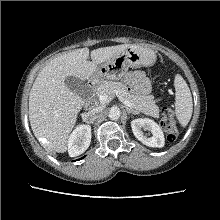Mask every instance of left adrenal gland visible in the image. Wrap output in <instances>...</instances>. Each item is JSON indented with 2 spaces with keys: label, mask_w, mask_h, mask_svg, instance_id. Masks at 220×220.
I'll return each instance as SVG.
<instances>
[{
  "label": "left adrenal gland",
  "mask_w": 220,
  "mask_h": 220,
  "mask_svg": "<svg viewBox=\"0 0 220 220\" xmlns=\"http://www.w3.org/2000/svg\"><path fill=\"white\" fill-rule=\"evenodd\" d=\"M126 111L128 114H138V112L136 110H133L131 108L126 107Z\"/></svg>",
  "instance_id": "a2214340"
}]
</instances>
